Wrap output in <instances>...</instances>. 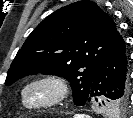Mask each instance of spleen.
I'll use <instances>...</instances> for the list:
<instances>
[{
	"instance_id": "3e777b00",
	"label": "spleen",
	"mask_w": 133,
	"mask_h": 118,
	"mask_svg": "<svg viewBox=\"0 0 133 118\" xmlns=\"http://www.w3.org/2000/svg\"><path fill=\"white\" fill-rule=\"evenodd\" d=\"M74 118H81V117H79V116H75Z\"/></svg>"
}]
</instances>
